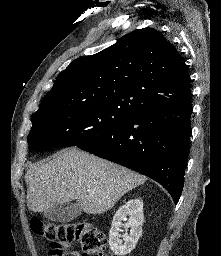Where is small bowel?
I'll use <instances>...</instances> for the list:
<instances>
[{
  "instance_id": "small-bowel-1",
  "label": "small bowel",
  "mask_w": 221,
  "mask_h": 256,
  "mask_svg": "<svg viewBox=\"0 0 221 256\" xmlns=\"http://www.w3.org/2000/svg\"><path fill=\"white\" fill-rule=\"evenodd\" d=\"M49 255H50V256H63V255H62V252H61V253H58V254H51V253L49 252ZM74 256H79V254L74 253Z\"/></svg>"
}]
</instances>
